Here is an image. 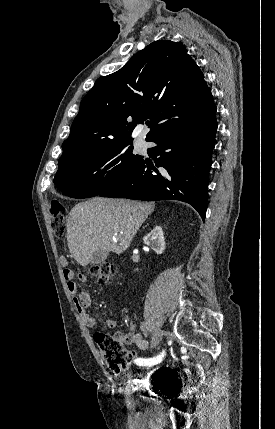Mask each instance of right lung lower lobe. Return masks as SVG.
Listing matches in <instances>:
<instances>
[{
	"mask_svg": "<svg viewBox=\"0 0 275 429\" xmlns=\"http://www.w3.org/2000/svg\"><path fill=\"white\" fill-rule=\"evenodd\" d=\"M216 109L198 120L163 130L148 141L157 166L139 163L99 196L135 200H180L192 205L203 221L207 209L208 175L217 131Z\"/></svg>",
	"mask_w": 275,
	"mask_h": 429,
	"instance_id": "98d812e1",
	"label": "right lung lower lobe"
}]
</instances>
